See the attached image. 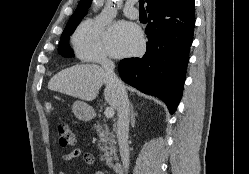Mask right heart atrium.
I'll return each mask as SVG.
<instances>
[{"label":"right heart atrium","instance_id":"d8ad5b80","mask_svg":"<svg viewBox=\"0 0 249 174\" xmlns=\"http://www.w3.org/2000/svg\"><path fill=\"white\" fill-rule=\"evenodd\" d=\"M106 27V22L100 17L87 18L79 24L73 35V47L80 60L94 63L109 61L104 43Z\"/></svg>","mask_w":249,"mask_h":174}]
</instances>
